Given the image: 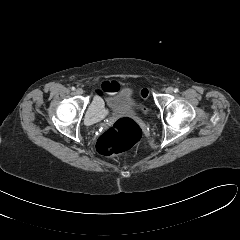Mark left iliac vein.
Returning <instances> with one entry per match:
<instances>
[{
	"label": "left iliac vein",
	"mask_w": 240,
	"mask_h": 240,
	"mask_svg": "<svg viewBox=\"0 0 240 240\" xmlns=\"http://www.w3.org/2000/svg\"><path fill=\"white\" fill-rule=\"evenodd\" d=\"M166 93H168V94H172L173 93V88L172 87H168V88H166Z\"/></svg>",
	"instance_id": "left-iliac-vein-1"
}]
</instances>
